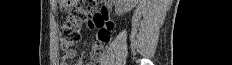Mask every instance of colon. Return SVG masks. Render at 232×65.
Returning <instances> with one entry per match:
<instances>
[{
    "instance_id": "5ec220e1",
    "label": "colon",
    "mask_w": 232,
    "mask_h": 65,
    "mask_svg": "<svg viewBox=\"0 0 232 65\" xmlns=\"http://www.w3.org/2000/svg\"><path fill=\"white\" fill-rule=\"evenodd\" d=\"M97 2L95 0H74L70 9V15L60 30V44L62 49L68 50L80 39L79 25L85 18L94 11ZM105 35L97 38L94 45L93 59L100 62L105 53Z\"/></svg>"
}]
</instances>
